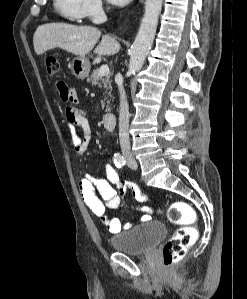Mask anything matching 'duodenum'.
Instances as JSON below:
<instances>
[{"mask_svg": "<svg viewBox=\"0 0 247 299\" xmlns=\"http://www.w3.org/2000/svg\"><path fill=\"white\" fill-rule=\"evenodd\" d=\"M102 123L108 131H113L116 126V116L113 113H105L102 117Z\"/></svg>", "mask_w": 247, "mask_h": 299, "instance_id": "obj_1", "label": "duodenum"}]
</instances>
